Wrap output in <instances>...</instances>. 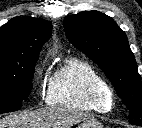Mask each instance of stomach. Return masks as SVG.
<instances>
[{"instance_id": "1", "label": "stomach", "mask_w": 142, "mask_h": 128, "mask_svg": "<svg viewBox=\"0 0 142 128\" xmlns=\"http://www.w3.org/2000/svg\"><path fill=\"white\" fill-rule=\"evenodd\" d=\"M76 128H103V125L93 118L84 120Z\"/></svg>"}]
</instances>
